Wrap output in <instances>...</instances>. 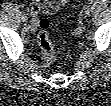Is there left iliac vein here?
<instances>
[{
	"label": "left iliac vein",
	"mask_w": 111,
	"mask_h": 106,
	"mask_svg": "<svg viewBox=\"0 0 111 106\" xmlns=\"http://www.w3.org/2000/svg\"><path fill=\"white\" fill-rule=\"evenodd\" d=\"M91 12V8L89 6L84 7L83 13L84 15H89Z\"/></svg>",
	"instance_id": "4c4485c4"
}]
</instances>
